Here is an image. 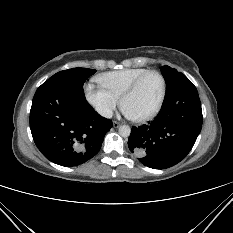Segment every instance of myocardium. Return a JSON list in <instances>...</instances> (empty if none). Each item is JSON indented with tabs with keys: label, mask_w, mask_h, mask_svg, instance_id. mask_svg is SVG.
Returning <instances> with one entry per match:
<instances>
[{
	"label": "myocardium",
	"mask_w": 233,
	"mask_h": 233,
	"mask_svg": "<svg viewBox=\"0 0 233 233\" xmlns=\"http://www.w3.org/2000/svg\"><path fill=\"white\" fill-rule=\"evenodd\" d=\"M151 74L157 75L161 80V83H162L161 96H160L159 102L156 105V107L148 114H146L144 116H140V117L130 116V119L135 121V122H145V121L151 120L160 112V110L164 104V101L166 98V93H167V83H166L165 77L159 71L149 70V71L141 74L138 78H136V80L120 96V104L123 107L124 101L126 100V98L129 97L130 95H132L139 88V86L141 85L143 80Z\"/></svg>",
	"instance_id": "f54148a6"
}]
</instances>
